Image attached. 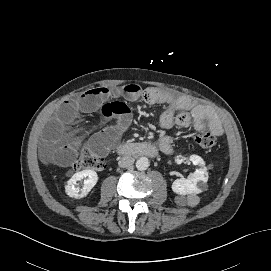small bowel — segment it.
<instances>
[{
	"instance_id": "1",
	"label": "small bowel",
	"mask_w": 271,
	"mask_h": 271,
	"mask_svg": "<svg viewBox=\"0 0 271 271\" xmlns=\"http://www.w3.org/2000/svg\"><path fill=\"white\" fill-rule=\"evenodd\" d=\"M127 101L144 100L148 104H163L158 125L170 129L192 126L200 131L206 127L215 134L222 133L221 123L215 112L206 105L198 104L187 95H178L156 87L142 88L137 84H127L121 89L97 87L81 93L78 97L63 102L54 117L45 127L43 155L59 166H69L75 159L81 136L67 132V126L84 113H98L104 119L114 120V124L98 131L89 140L90 148L99 155H106L112 143L127 129L131 121V111ZM165 154L173 152V139L163 136L159 142Z\"/></svg>"
}]
</instances>
